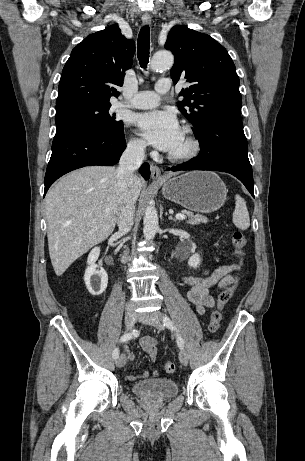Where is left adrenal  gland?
Instances as JSON below:
<instances>
[{
	"mask_svg": "<svg viewBox=\"0 0 305 461\" xmlns=\"http://www.w3.org/2000/svg\"><path fill=\"white\" fill-rule=\"evenodd\" d=\"M168 219L171 220V221H173V222H176V221H177V219H176V218H173L172 216H169Z\"/></svg>",
	"mask_w": 305,
	"mask_h": 461,
	"instance_id": "left-adrenal-gland-1",
	"label": "left adrenal gland"
}]
</instances>
